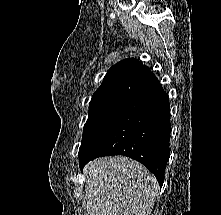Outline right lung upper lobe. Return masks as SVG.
<instances>
[{"mask_svg":"<svg viewBox=\"0 0 221 215\" xmlns=\"http://www.w3.org/2000/svg\"><path fill=\"white\" fill-rule=\"evenodd\" d=\"M159 84L156 76L139 60L127 58L112 66L91 102L110 99H128L144 94Z\"/></svg>","mask_w":221,"mask_h":215,"instance_id":"right-lung-upper-lobe-1","label":"right lung upper lobe"}]
</instances>
